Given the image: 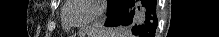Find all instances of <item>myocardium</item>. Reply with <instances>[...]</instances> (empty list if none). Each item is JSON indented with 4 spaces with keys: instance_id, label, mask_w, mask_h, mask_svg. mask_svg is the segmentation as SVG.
I'll return each instance as SVG.
<instances>
[{
    "instance_id": "f54148a6",
    "label": "myocardium",
    "mask_w": 219,
    "mask_h": 37,
    "mask_svg": "<svg viewBox=\"0 0 219 37\" xmlns=\"http://www.w3.org/2000/svg\"><path fill=\"white\" fill-rule=\"evenodd\" d=\"M89 1L94 4L95 12L93 13V15L89 19H87L83 22H79V23L71 22L67 19L66 11L70 7V5L73 1L69 0L66 2L65 8L62 12V18L67 26H69V27H86V26L92 24L93 22H95L97 19H99L102 16V14L104 12V8H105V6H104L105 1L104 0H94V1L89 0Z\"/></svg>"
}]
</instances>
